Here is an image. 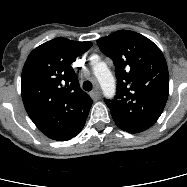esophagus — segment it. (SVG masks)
<instances>
[{"label": "esophagus", "mask_w": 187, "mask_h": 187, "mask_svg": "<svg viewBox=\"0 0 187 187\" xmlns=\"http://www.w3.org/2000/svg\"><path fill=\"white\" fill-rule=\"evenodd\" d=\"M91 97L93 100H98L101 96V90L99 87H96L92 92H91Z\"/></svg>", "instance_id": "esophagus-1"}]
</instances>
